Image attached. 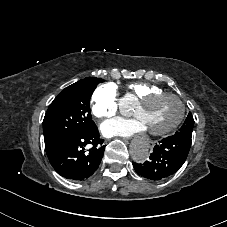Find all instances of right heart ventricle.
I'll use <instances>...</instances> for the list:
<instances>
[{
  "instance_id": "right-heart-ventricle-1",
  "label": "right heart ventricle",
  "mask_w": 227,
  "mask_h": 227,
  "mask_svg": "<svg viewBox=\"0 0 227 227\" xmlns=\"http://www.w3.org/2000/svg\"><path fill=\"white\" fill-rule=\"evenodd\" d=\"M127 90H128V95H133L137 99H140L141 97L163 91L161 87L155 84L148 83L146 81H134L129 84H127Z\"/></svg>"
}]
</instances>
